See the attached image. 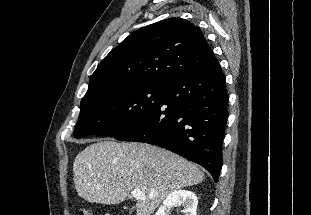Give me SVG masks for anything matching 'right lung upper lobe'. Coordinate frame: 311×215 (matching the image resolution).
Segmentation results:
<instances>
[{"instance_id": "right-lung-upper-lobe-1", "label": "right lung upper lobe", "mask_w": 311, "mask_h": 215, "mask_svg": "<svg viewBox=\"0 0 311 215\" xmlns=\"http://www.w3.org/2000/svg\"><path fill=\"white\" fill-rule=\"evenodd\" d=\"M217 61L199 27L169 18L128 36L100 63L84 97L133 86H158ZM83 97V98H84Z\"/></svg>"}]
</instances>
